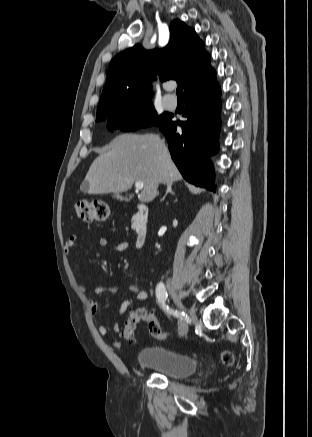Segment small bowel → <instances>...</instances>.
I'll return each instance as SVG.
<instances>
[{"label": "small bowel", "instance_id": "1", "mask_svg": "<svg viewBox=\"0 0 312 437\" xmlns=\"http://www.w3.org/2000/svg\"><path fill=\"white\" fill-rule=\"evenodd\" d=\"M77 241H78V236L75 235V234L71 235L68 238V240L66 241L65 246H64V251H65V253L67 255H70L72 253V250L75 248V246L77 244ZM98 244L101 247H111V249L116 251V252H124L128 248V243L125 242V241H118V242L110 243L109 240L106 239V238H100L98 240ZM82 290H83L84 293H87V291L85 289L82 288ZM114 290H115L114 286L97 287L93 291V293L94 294H100V293H103V292H113ZM129 290L134 295V299L122 301L120 303L119 307H118V313L119 314L126 313L133 306V304L135 302H140V301H144V300L147 299V292L144 289L140 288L139 286L131 284L129 286ZM88 304H89L90 311L93 314H97L98 311H99L98 303L95 300L90 299L88 301ZM112 330L115 333H118L120 331V325L119 324H115L112 327ZM98 331H99V333L101 335H106L109 332V328H108V326L106 324L100 323L98 325ZM111 345L115 349L121 348V342L118 341V340H113L111 342Z\"/></svg>", "mask_w": 312, "mask_h": 437}]
</instances>
